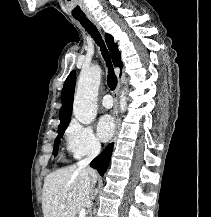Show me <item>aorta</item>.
<instances>
[{
  "label": "aorta",
  "mask_w": 211,
  "mask_h": 217,
  "mask_svg": "<svg viewBox=\"0 0 211 217\" xmlns=\"http://www.w3.org/2000/svg\"><path fill=\"white\" fill-rule=\"evenodd\" d=\"M101 80V68L98 65L82 70L79 76L77 91L74 97L73 114L83 123L90 124L97 115V96ZM126 93L124 88L120 95V109H126Z\"/></svg>",
  "instance_id": "762f6f07"
}]
</instances>
